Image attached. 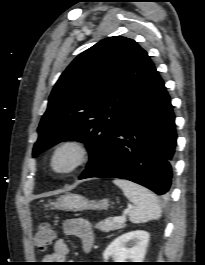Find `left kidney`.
Wrapping results in <instances>:
<instances>
[{"instance_id": "5707ae66", "label": "left kidney", "mask_w": 205, "mask_h": 265, "mask_svg": "<svg viewBox=\"0 0 205 265\" xmlns=\"http://www.w3.org/2000/svg\"><path fill=\"white\" fill-rule=\"evenodd\" d=\"M149 242V233L136 230L124 233L113 240L105 249L103 258L107 261L110 257L115 262H142Z\"/></svg>"}]
</instances>
